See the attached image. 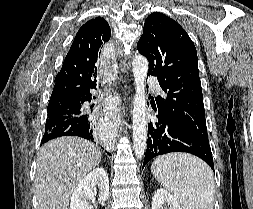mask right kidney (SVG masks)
I'll return each mask as SVG.
<instances>
[{"label": "right kidney", "mask_w": 253, "mask_h": 209, "mask_svg": "<svg viewBox=\"0 0 253 209\" xmlns=\"http://www.w3.org/2000/svg\"><path fill=\"white\" fill-rule=\"evenodd\" d=\"M97 187L98 201L105 202L109 197V178L103 168L94 169L79 182L71 196L70 209H92L88 201L94 200Z\"/></svg>", "instance_id": "ca27d5eb"}]
</instances>
